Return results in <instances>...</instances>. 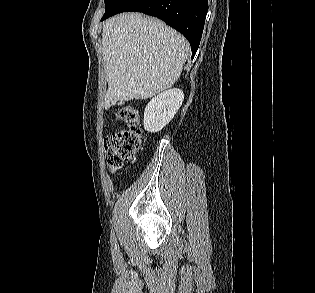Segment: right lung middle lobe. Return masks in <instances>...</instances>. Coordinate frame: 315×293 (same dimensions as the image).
Wrapping results in <instances>:
<instances>
[{
    "label": "right lung middle lobe",
    "instance_id": "dd1d6c3e",
    "mask_svg": "<svg viewBox=\"0 0 315 293\" xmlns=\"http://www.w3.org/2000/svg\"><path fill=\"white\" fill-rule=\"evenodd\" d=\"M111 1L112 0H105V12H106L108 6L110 5Z\"/></svg>",
    "mask_w": 315,
    "mask_h": 293
}]
</instances>
